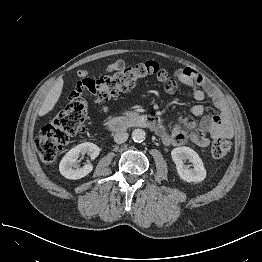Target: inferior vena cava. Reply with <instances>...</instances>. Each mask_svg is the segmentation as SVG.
<instances>
[{
  "label": "inferior vena cava",
  "instance_id": "1",
  "mask_svg": "<svg viewBox=\"0 0 262 262\" xmlns=\"http://www.w3.org/2000/svg\"><path fill=\"white\" fill-rule=\"evenodd\" d=\"M128 139L126 131H119L114 135V141L118 144L124 143Z\"/></svg>",
  "mask_w": 262,
  "mask_h": 262
}]
</instances>
